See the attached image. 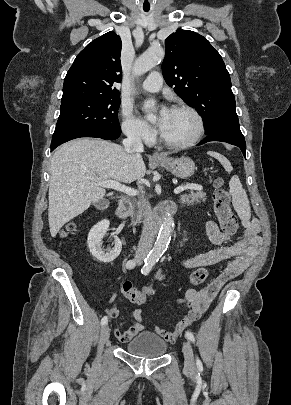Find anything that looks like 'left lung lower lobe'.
Masks as SVG:
<instances>
[{"instance_id":"1","label":"left lung lower lobe","mask_w":291,"mask_h":405,"mask_svg":"<svg viewBox=\"0 0 291 405\" xmlns=\"http://www.w3.org/2000/svg\"><path fill=\"white\" fill-rule=\"evenodd\" d=\"M210 141H221L235 145L241 149L243 155H246V143L244 136L242 135L240 128H223L209 134L198 145L204 144Z\"/></svg>"}]
</instances>
